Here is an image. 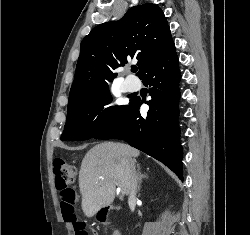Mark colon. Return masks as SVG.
<instances>
[{
  "label": "colon",
  "instance_id": "1",
  "mask_svg": "<svg viewBox=\"0 0 250 235\" xmlns=\"http://www.w3.org/2000/svg\"><path fill=\"white\" fill-rule=\"evenodd\" d=\"M54 174L60 191V207L65 221L72 224L75 235H88L85 223L76 215V193L68 187L76 180V168L62 159H57L54 163Z\"/></svg>",
  "mask_w": 250,
  "mask_h": 235
}]
</instances>
